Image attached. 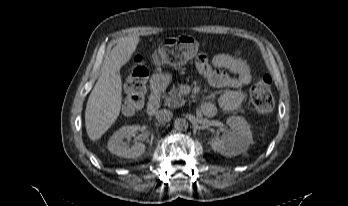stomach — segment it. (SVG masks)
<instances>
[{
  "instance_id": "1",
  "label": "stomach",
  "mask_w": 348,
  "mask_h": 206,
  "mask_svg": "<svg viewBox=\"0 0 348 206\" xmlns=\"http://www.w3.org/2000/svg\"><path fill=\"white\" fill-rule=\"evenodd\" d=\"M181 45L187 57L192 58L197 54L199 43L192 36H181ZM154 81L159 85H167L171 81V74L158 73L154 76Z\"/></svg>"
}]
</instances>
